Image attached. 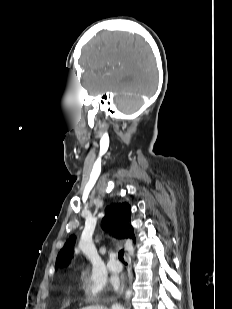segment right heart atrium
Masks as SVG:
<instances>
[{"instance_id": "1", "label": "right heart atrium", "mask_w": 232, "mask_h": 309, "mask_svg": "<svg viewBox=\"0 0 232 309\" xmlns=\"http://www.w3.org/2000/svg\"><path fill=\"white\" fill-rule=\"evenodd\" d=\"M85 297L89 301H96L101 296V288L90 280H85L82 285Z\"/></svg>"}]
</instances>
